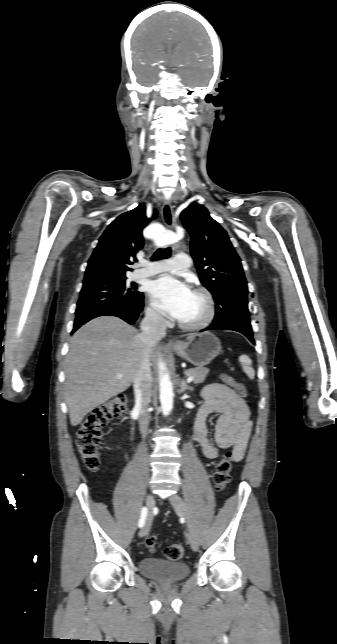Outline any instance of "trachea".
<instances>
[{
  "mask_svg": "<svg viewBox=\"0 0 337 644\" xmlns=\"http://www.w3.org/2000/svg\"><path fill=\"white\" fill-rule=\"evenodd\" d=\"M171 254V248L159 249L154 255L153 259L167 258Z\"/></svg>",
  "mask_w": 337,
  "mask_h": 644,
  "instance_id": "obj_1",
  "label": "trachea"
}]
</instances>
